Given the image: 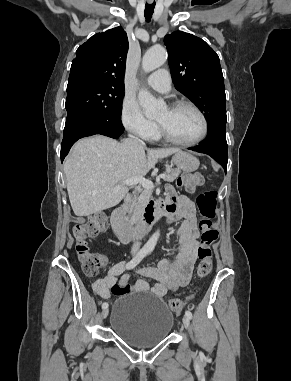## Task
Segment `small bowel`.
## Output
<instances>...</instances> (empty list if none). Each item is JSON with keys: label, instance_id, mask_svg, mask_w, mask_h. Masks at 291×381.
<instances>
[{"label": "small bowel", "instance_id": "obj_1", "mask_svg": "<svg viewBox=\"0 0 291 381\" xmlns=\"http://www.w3.org/2000/svg\"><path fill=\"white\" fill-rule=\"evenodd\" d=\"M164 205L165 214L170 222L182 220L177 231L180 250L172 260L162 259L156 266L138 269L139 275L155 280L153 286H150L145 280H138L132 286L135 291H149L160 297L189 283L198 250L194 204L187 199L179 198L174 191L169 190ZM125 266V262H118L109 269L103 278L97 279L93 283L95 293L101 298L107 299L111 295V287L117 281L121 284H128L131 275L124 273Z\"/></svg>", "mask_w": 291, "mask_h": 381}]
</instances>
